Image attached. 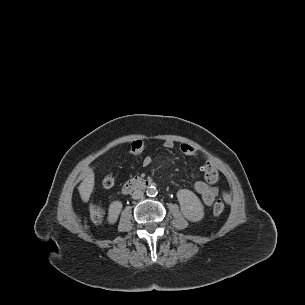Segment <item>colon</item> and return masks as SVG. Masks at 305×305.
Listing matches in <instances>:
<instances>
[{"instance_id":"obj_1","label":"colon","mask_w":305,"mask_h":305,"mask_svg":"<svg viewBox=\"0 0 305 305\" xmlns=\"http://www.w3.org/2000/svg\"><path fill=\"white\" fill-rule=\"evenodd\" d=\"M146 149V143L143 139H136L130 143L129 152L134 156H140ZM115 184V176L113 173L107 174L102 181V186L106 189L112 188ZM224 210V203L218 199L212 209L214 216L220 215ZM89 215L93 222L99 223L103 220L104 210L96 204H92L89 208Z\"/></svg>"}]
</instances>
